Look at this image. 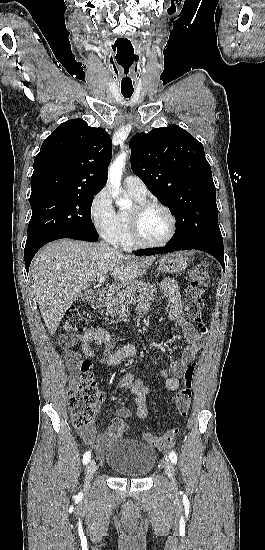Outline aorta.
I'll return each instance as SVG.
<instances>
[{
	"label": "aorta",
	"mask_w": 265,
	"mask_h": 550,
	"mask_svg": "<svg viewBox=\"0 0 265 550\" xmlns=\"http://www.w3.org/2000/svg\"><path fill=\"white\" fill-rule=\"evenodd\" d=\"M128 152H122L117 156L115 161L110 165L108 170V182L112 187V197L116 199V203L119 207L126 209L132 205L129 198L120 197V185L122 172L125 165V160Z\"/></svg>",
	"instance_id": "762f6f07"
}]
</instances>
